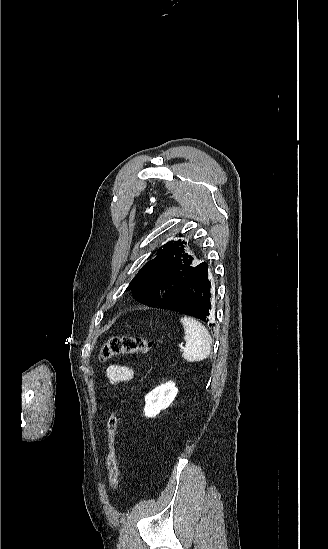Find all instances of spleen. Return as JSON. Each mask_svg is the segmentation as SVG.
Masks as SVG:
<instances>
[{"instance_id": "spleen-1", "label": "spleen", "mask_w": 328, "mask_h": 549, "mask_svg": "<svg viewBox=\"0 0 328 549\" xmlns=\"http://www.w3.org/2000/svg\"><path fill=\"white\" fill-rule=\"evenodd\" d=\"M181 323L184 329V339L186 347L183 351V359L188 363L194 361H204L210 355L212 337L206 327L192 319V317H182Z\"/></svg>"}]
</instances>
